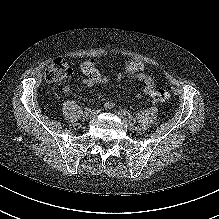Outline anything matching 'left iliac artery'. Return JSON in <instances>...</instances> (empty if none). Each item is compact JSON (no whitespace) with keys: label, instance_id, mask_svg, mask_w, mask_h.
<instances>
[{"label":"left iliac artery","instance_id":"obj_1","mask_svg":"<svg viewBox=\"0 0 219 219\" xmlns=\"http://www.w3.org/2000/svg\"><path fill=\"white\" fill-rule=\"evenodd\" d=\"M123 112L127 117L132 118V115L128 111L124 110Z\"/></svg>","mask_w":219,"mask_h":219}]
</instances>
